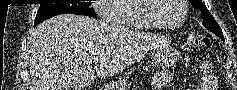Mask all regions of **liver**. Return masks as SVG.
<instances>
[{
	"instance_id": "6515ba94",
	"label": "liver",
	"mask_w": 237,
	"mask_h": 90,
	"mask_svg": "<svg viewBox=\"0 0 237 90\" xmlns=\"http://www.w3.org/2000/svg\"><path fill=\"white\" fill-rule=\"evenodd\" d=\"M156 38L122 24L61 14L36 26L27 42L31 90H85L143 58Z\"/></svg>"
}]
</instances>
